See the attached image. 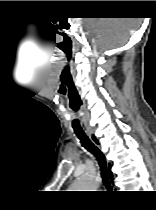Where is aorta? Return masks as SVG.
<instances>
[{"mask_svg": "<svg viewBox=\"0 0 156 210\" xmlns=\"http://www.w3.org/2000/svg\"><path fill=\"white\" fill-rule=\"evenodd\" d=\"M98 182V175L93 171H88L76 180L72 188L77 189V191H88L96 189Z\"/></svg>", "mask_w": 156, "mask_h": 210, "instance_id": "obj_1", "label": "aorta"}]
</instances>
